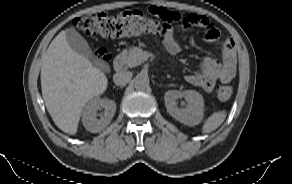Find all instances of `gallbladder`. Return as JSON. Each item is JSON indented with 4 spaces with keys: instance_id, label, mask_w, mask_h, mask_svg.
Segmentation results:
<instances>
[{
    "instance_id": "bac80fb5",
    "label": "gallbladder",
    "mask_w": 292,
    "mask_h": 184,
    "mask_svg": "<svg viewBox=\"0 0 292 184\" xmlns=\"http://www.w3.org/2000/svg\"><path fill=\"white\" fill-rule=\"evenodd\" d=\"M66 40L69 46L80 55L84 56L92 62L93 65L105 70L107 68L106 63L102 62L94 56L87 41L74 29L68 28L65 31Z\"/></svg>"
}]
</instances>
